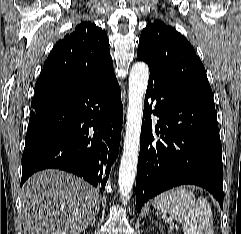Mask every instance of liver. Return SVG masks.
I'll list each match as a JSON object with an SVG mask.
<instances>
[{"mask_svg":"<svg viewBox=\"0 0 241 234\" xmlns=\"http://www.w3.org/2000/svg\"><path fill=\"white\" fill-rule=\"evenodd\" d=\"M100 193L75 175L37 172L21 190L24 234H81L99 211Z\"/></svg>","mask_w":241,"mask_h":234,"instance_id":"1","label":"liver"}]
</instances>
